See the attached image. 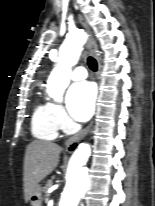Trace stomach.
I'll list each match as a JSON object with an SVG mask.
<instances>
[{"label": "stomach", "mask_w": 155, "mask_h": 206, "mask_svg": "<svg viewBox=\"0 0 155 206\" xmlns=\"http://www.w3.org/2000/svg\"><path fill=\"white\" fill-rule=\"evenodd\" d=\"M29 200H30V203L32 206H41L42 205V192H41V187L39 184L35 187Z\"/></svg>", "instance_id": "1"}]
</instances>
